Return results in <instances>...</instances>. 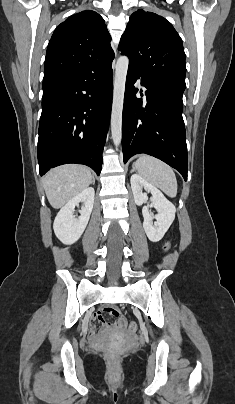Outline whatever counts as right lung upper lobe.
Segmentation results:
<instances>
[{
  "label": "right lung upper lobe",
  "instance_id": "cb5924a9",
  "mask_svg": "<svg viewBox=\"0 0 235 404\" xmlns=\"http://www.w3.org/2000/svg\"><path fill=\"white\" fill-rule=\"evenodd\" d=\"M104 19L85 10L62 22L54 31L47 48L44 80L112 64L114 51Z\"/></svg>",
  "mask_w": 235,
  "mask_h": 404
}]
</instances>
